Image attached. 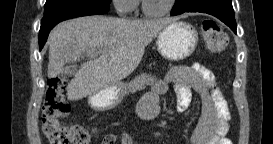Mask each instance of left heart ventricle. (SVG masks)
<instances>
[{
	"label": "left heart ventricle",
	"mask_w": 273,
	"mask_h": 144,
	"mask_svg": "<svg viewBox=\"0 0 273 144\" xmlns=\"http://www.w3.org/2000/svg\"><path fill=\"white\" fill-rule=\"evenodd\" d=\"M170 0H145L147 6L152 10H160L167 5Z\"/></svg>",
	"instance_id": "obj_1"
}]
</instances>
